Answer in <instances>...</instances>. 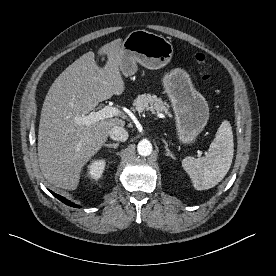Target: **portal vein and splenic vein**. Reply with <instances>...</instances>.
<instances>
[{
	"label": "portal vein and splenic vein",
	"mask_w": 276,
	"mask_h": 276,
	"mask_svg": "<svg viewBox=\"0 0 276 276\" xmlns=\"http://www.w3.org/2000/svg\"><path fill=\"white\" fill-rule=\"evenodd\" d=\"M118 115H120L118 108L107 105L97 112H92L86 116L76 117V122L89 126L97 121L104 120L106 118H112Z\"/></svg>",
	"instance_id": "portal-vein-and-splenic-vein-1"
}]
</instances>
